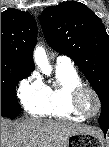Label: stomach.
I'll use <instances>...</instances> for the list:
<instances>
[{
	"instance_id": "stomach-1",
	"label": "stomach",
	"mask_w": 109,
	"mask_h": 147,
	"mask_svg": "<svg viewBox=\"0 0 109 147\" xmlns=\"http://www.w3.org/2000/svg\"><path fill=\"white\" fill-rule=\"evenodd\" d=\"M106 147L107 143L103 136L86 133H75L69 136L67 147Z\"/></svg>"
}]
</instances>
